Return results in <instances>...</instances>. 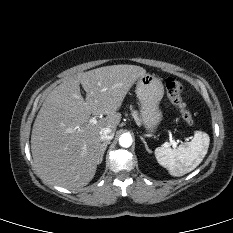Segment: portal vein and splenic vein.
Segmentation results:
<instances>
[{
    "mask_svg": "<svg viewBox=\"0 0 233 233\" xmlns=\"http://www.w3.org/2000/svg\"><path fill=\"white\" fill-rule=\"evenodd\" d=\"M89 123H90V124H96V123H97L96 118H91V119L89 120ZM170 144H171L174 148H176V146H177V142H175V140H171Z\"/></svg>",
    "mask_w": 233,
    "mask_h": 233,
    "instance_id": "1",
    "label": "portal vein and splenic vein"
}]
</instances>
